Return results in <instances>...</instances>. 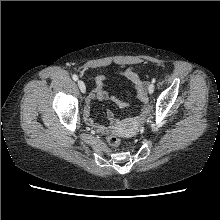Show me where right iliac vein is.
Masks as SVG:
<instances>
[{
	"label": "right iliac vein",
	"mask_w": 220,
	"mask_h": 220,
	"mask_svg": "<svg viewBox=\"0 0 220 220\" xmlns=\"http://www.w3.org/2000/svg\"><path fill=\"white\" fill-rule=\"evenodd\" d=\"M78 86H79V89L81 90L82 93L86 92V86H85V83L82 80L78 81Z\"/></svg>",
	"instance_id": "right-iliac-vein-1"
}]
</instances>
